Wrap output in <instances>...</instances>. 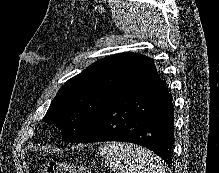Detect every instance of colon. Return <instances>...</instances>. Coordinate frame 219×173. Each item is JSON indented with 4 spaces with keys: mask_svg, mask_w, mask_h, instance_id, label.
<instances>
[{
    "mask_svg": "<svg viewBox=\"0 0 219 173\" xmlns=\"http://www.w3.org/2000/svg\"><path fill=\"white\" fill-rule=\"evenodd\" d=\"M40 173H91V171L84 166L58 159H50L44 163Z\"/></svg>",
    "mask_w": 219,
    "mask_h": 173,
    "instance_id": "colon-1",
    "label": "colon"
}]
</instances>
